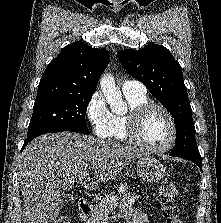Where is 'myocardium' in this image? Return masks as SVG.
I'll list each match as a JSON object with an SVG mask.
<instances>
[{
    "mask_svg": "<svg viewBox=\"0 0 221 223\" xmlns=\"http://www.w3.org/2000/svg\"><path fill=\"white\" fill-rule=\"evenodd\" d=\"M153 109L162 111L167 116L171 126V137L169 141L165 145L159 147L146 143L140 138L139 135L140 126L144 116ZM126 133L128 140H130L133 144L141 149L151 152H164L169 150L176 143L178 138V128L173 114L165 106L151 102L141 104L130 111Z\"/></svg>",
    "mask_w": 221,
    "mask_h": 223,
    "instance_id": "myocardium-1",
    "label": "myocardium"
}]
</instances>
